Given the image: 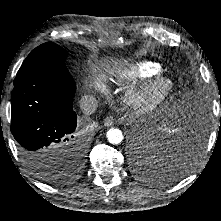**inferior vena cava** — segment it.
Returning a JSON list of instances; mask_svg holds the SVG:
<instances>
[{"label":"inferior vena cava","instance_id":"obj_1","mask_svg":"<svg viewBox=\"0 0 221 221\" xmlns=\"http://www.w3.org/2000/svg\"><path fill=\"white\" fill-rule=\"evenodd\" d=\"M79 103L80 108L85 115L93 114L98 107V101L93 95L82 96Z\"/></svg>","mask_w":221,"mask_h":221}]
</instances>
